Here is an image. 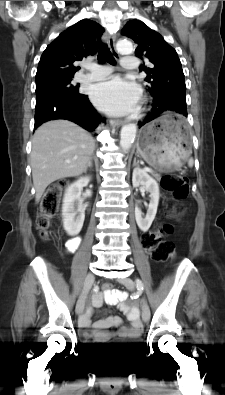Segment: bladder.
Wrapping results in <instances>:
<instances>
[{
	"mask_svg": "<svg viewBox=\"0 0 225 395\" xmlns=\"http://www.w3.org/2000/svg\"><path fill=\"white\" fill-rule=\"evenodd\" d=\"M90 345L94 346L96 344L93 343ZM141 347H142V340L140 338H136L121 344V350L126 355L136 353L141 349Z\"/></svg>",
	"mask_w": 225,
	"mask_h": 395,
	"instance_id": "1",
	"label": "bladder"
}]
</instances>
